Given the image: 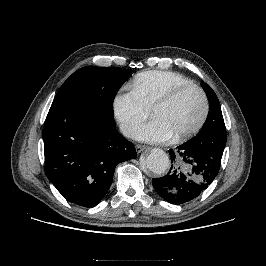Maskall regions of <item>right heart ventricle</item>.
I'll use <instances>...</instances> for the list:
<instances>
[{
	"instance_id": "1",
	"label": "right heart ventricle",
	"mask_w": 266,
	"mask_h": 266,
	"mask_svg": "<svg viewBox=\"0 0 266 266\" xmlns=\"http://www.w3.org/2000/svg\"><path fill=\"white\" fill-rule=\"evenodd\" d=\"M186 84H193L192 81L183 75L164 70H150L139 73L130 83L133 90L149 108L162 96L172 89Z\"/></svg>"
}]
</instances>
